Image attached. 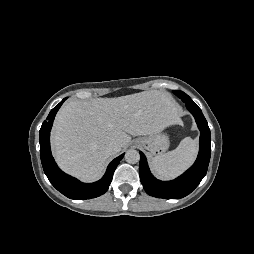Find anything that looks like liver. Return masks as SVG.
I'll return each mask as SVG.
<instances>
[{"label": "liver", "instance_id": "liver-1", "mask_svg": "<svg viewBox=\"0 0 254 254\" xmlns=\"http://www.w3.org/2000/svg\"><path fill=\"white\" fill-rule=\"evenodd\" d=\"M178 123L179 108L165 91L70 101L55 118L52 145L61 169L92 182L104 173L111 157L106 153L109 144L124 148L131 141L130 135L150 136Z\"/></svg>", "mask_w": 254, "mask_h": 254}]
</instances>
